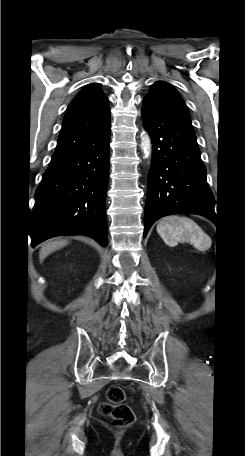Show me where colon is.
Wrapping results in <instances>:
<instances>
[{
	"label": "colon",
	"mask_w": 245,
	"mask_h": 456,
	"mask_svg": "<svg viewBox=\"0 0 245 456\" xmlns=\"http://www.w3.org/2000/svg\"><path fill=\"white\" fill-rule=\"evenodd\" d=\"M100 412L112 418L118 427H127L135 421L133 410L125 404V392L118 386L107 390L106 401L100 405Z\"/></svg>",
	"instance_id": "obj_1"
}]
</instances>
